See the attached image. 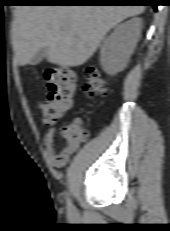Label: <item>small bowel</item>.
I'll list each match as a JSON object with an SVG mask.
<instances>
[{
	"mask_svg": "<svg viewBox=\"0 0 170 231\" xmlns=\"http://www.w3.org/2000/svg\"><path fill=\"white\" fill-rule=\"evenodd\" d=\"M80 118H74L71 123L81 124ZM56 129L51 128L44 136V144L46 147V157L49 163L55 168H62L69 161L70 155L74 151L73 149L65 147L61 151H57L55 134Z\"/></svg>",
	"mask_w": 170,
	"mask_h": 231,
	"instance_id": "obj_1",
	"label": "small bowel"
}]
</instances>
